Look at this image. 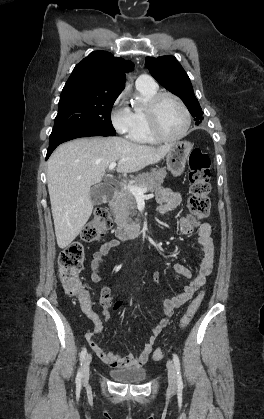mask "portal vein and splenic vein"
<instances>
[{
  "label": "portal vein and splenic vein",
  "mask_w": 264,
  "mask_h": 419,
  "mask_svg": "<svg viewBox=\"0 0 264 419\" xmlns=\"http://www.w3.org/2000/svg\"><path fill=\"white\" fill-rule=\"evenodd\" d=\"M116 165H117L116 162H112L109 165V170L112 171L116 167ZM125 187L128 188V190L135 196V198H144L145 197L144 193L147 192V189L132 186L130 184L126 185Z\"/></svg>",
  "instance_id": "obj_1"
}]
</instances>
